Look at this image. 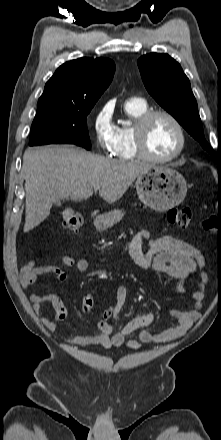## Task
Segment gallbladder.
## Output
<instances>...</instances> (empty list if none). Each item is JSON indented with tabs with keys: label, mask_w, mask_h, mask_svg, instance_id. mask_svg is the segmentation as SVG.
<instances>
[{
	"label": "gallbladder",
	"mask_w": 221,
	"mask_h": 440,
	"mask_svg": "<svg viewBox=\"0 0 221 440\" xmlns=\"http://www.w3.org/2000/svg\"><path fill=\"white\" fill-rule=\"evenodd\" d=\"M54 204L57 205V206H60L61 205V201L58 200V201L54 202Z\"/></svg>",
	"instance_id": "1"
}]
</instances>
